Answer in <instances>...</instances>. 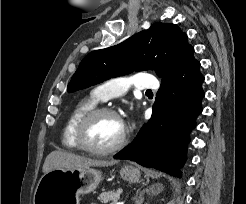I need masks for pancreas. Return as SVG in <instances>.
I'll return each instance as SVG.
<instances>
[{"instance_id":"obj_1","label":"pancreas","mask_w":246,"mask_h":204,"mask_svg":"<svg viewBox=\"0 0 246 204\" xmlns=\"http://www.w3.org/2000/svg\"><path fill=\"white\" fill-rule=\"evenodd\" d=\"M121 193V189H118L117 191L103 192L98 196V200L104 204L108 203L109 201H117Z\"/></svg>"}]
</instances>
